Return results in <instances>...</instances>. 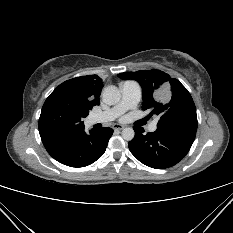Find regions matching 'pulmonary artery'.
Here are the masks:
<instances>
[{"mask_svg":"<svg viewBox=\"0 0 233 233\" xmlns=\"http://www.w3.org/2000/svg\"><path fill=\"white\" fill-rule=\"evenodd\" d=\"M121 99L111 109L102 113L93 114L89 121L91 124L105 123L112 121L129 109L134 108L141 99L142 90L138 83L125 81L120 84ZM157 129V122H152L149 130L154 132Z\"/></svg>","mask_w":233,"mask_h":233,"instance_id":"obj_1","label":"pulmonary artery"}]
</instances>
